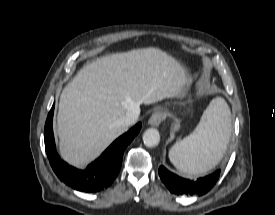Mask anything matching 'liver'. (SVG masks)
<instances>
[{
	"label": "liver",
	"mask_w": 275,
	"mask_h": 215,
	"mask_svg": "<svg viewBox=\"0 0 275 215\" xmlns=\"http://www.w3.org/2000/svg\"><path fill=\"white\" fill-rule=\"evenodd\" d=\"M189 84L185 68L158 48L96 59L61 93L57 116L61 157L78 168L87 165L127 131L119 120L128 110L182 97Z\"/></svg>",
	"instance_id": "6515ba94"
}]
</instances>
